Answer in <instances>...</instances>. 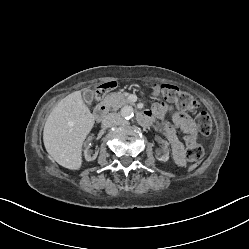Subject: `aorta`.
<instances>
[{
    "label": "aorta",
    "mask_w": 249,
    "mask_h": 249,
    "mask_svg": "<svg viewBox=\"0 0 249 249\" xmlns=\"http://www.w3.org/2000/svg\"><path fill=\"white\" fill-rule=\"evenodd\" d=\"M121 116L128 120L134 116V110L131 106H125L121 110Z\"/></svg>",
    "instance_id": "obj_1"
}]
</instances>
